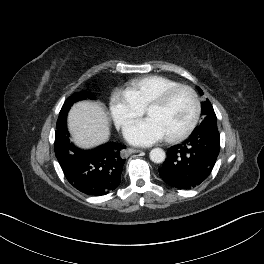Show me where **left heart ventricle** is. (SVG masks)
Returning a JSON list of instances; mask_svg holds the SVG:
<instances>
[{
  "mask_svg": "<svg viewBox=\"0 0 264 264\" xmlns=\"http://www.w3.org/2000/svg\"><path fill=\"white\" fill-rule=\"evenodd\" d=\"M193 113L191 95L187 91H180L165 106L150 109L147 116L159 125L167 137L183 131L189 125Z\"/></svg>",
  "mask_w": 264,
  "mask_h": 264,
  "instance_id": "1",
  "label": "left heart ventricle"
}]
</instances>
